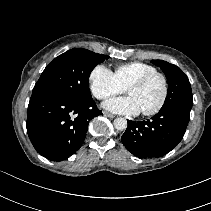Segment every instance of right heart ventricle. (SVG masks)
Here are the masks:
<instances>
[{"mask_svg":"<svg viewBox=\"0 0 211 211\" xmlns=\"http://www.w3.org/2000/svg\"><path fill=\"white\" fill-rule=\"evenodd\" d=\"M155 71L156 68L153 65L144 62H130L118 65L114 74L122 87L127 88L135 80Z\"/></svg>","mask_w":211,"mask_h":211,"instance_id":"obj_1","label":"right heart ventricle"}]
</instances>
